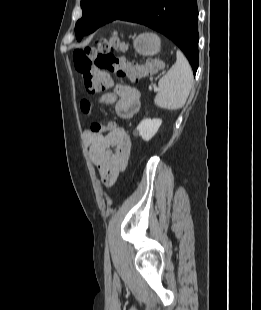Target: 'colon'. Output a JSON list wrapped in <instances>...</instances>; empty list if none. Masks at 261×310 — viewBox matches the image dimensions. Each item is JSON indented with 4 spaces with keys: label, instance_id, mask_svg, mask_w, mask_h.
<instances>
[{
    "label": "colon",
    "instance_id": "colon-1",
    "mask_svg": "<svg viewBox=\"0 0 261 310\" xmlns=\"http://www.w3.org/2000/svg\"><path fill=\"white\" fill-rule=\"evenodd\" d=\"M126 49L127 44L119 34L114 33L109 37L99 38L92 46L73 52L74 67L82 76L88 93L95 94L109 89L112 85L110 73L138 81L161 68L158 58L150 59L141 65L114 53ZM103 129L104 126L99 123H93L90 128L93 132H101Z\"/></svg>",
    "mask_w": 261,
    "mask_h": 310
}]
</instances>
